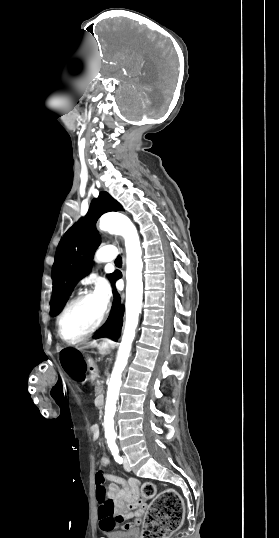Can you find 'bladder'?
<instances>
[{
    "mask_svg": "<svg viewBox=\"0 0 279 538\" xmlns=\"http://www.w3.org/2000/svg\"><path fill=\"white\" fill-rule=\"evenodd\" d=\"M108 538H139L138 532H109Z\"/></svg>",
    "mask_w": 279,
    "mask_h": 538,
    "instance_id": "bladder-1",
    "label": "bladder"
}]
</instances>
